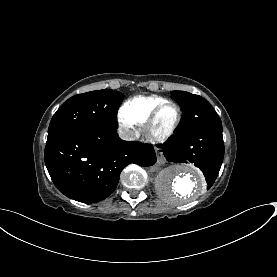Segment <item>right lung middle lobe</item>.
Instances as JSON below:
<instances>
[{
	"instance_id": "dd1d6c3e",
	"label": "right lung middle lobe",
	"mask_w": 277,
	"mask_h": 277,
	"mask_svg": "<svg viewBox=\"0 0 277 277\" xmlns=\"http://www.w3.org/2000/svg\"><path fill=\"white\" fill-rule=\"evenodd\" d=\"M124 95L111 89L91 91L68 99L54 114L47 139L97 126L118 127L117 110Z\"/></svg>"
}]
</instances>
